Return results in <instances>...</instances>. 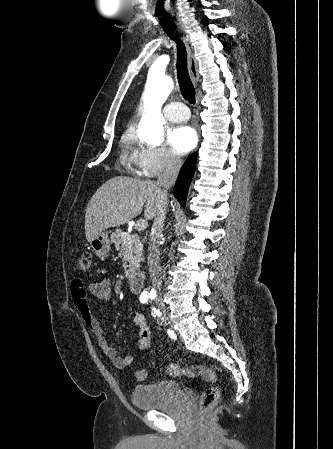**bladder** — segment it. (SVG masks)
I'll use <instances>...</instances> for the list:
<instances>
[{
  "mask_svg": "<svg viewBox=\"0 0 333 449\" xmlns=\"http://www.w3.org/2000/svg\"><path fill=\"white\" fill-rule=\"evenodd\" d=\"M181 394V385L173 380L138 385L132 391V404L141 410H159L172 406Z\"/></svg>",
  "mask_w": 333,
  "mask_h": 449,
  "instance_id": "bladder-1",
  "label": "bladder"
}]
</instances>
